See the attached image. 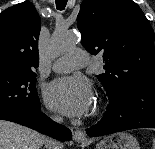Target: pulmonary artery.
Wrapping results in <instances>:
<instances>
[{
    "mask_svg": "<svg viewBox=\"0 0 155 149\" xmlns=\"http://www.w3.org/2000/svg\"><path fill=\"white\" fill-rule=\"evenodd\" d=\"M87 63V52L83 49H75L57 59L52 65V70L58 73H67L76 68L84 67Z\"/></svg>",
    "mask_w": 155,
    "mask_h": 149,
    "instance_id": "obj_1",
    "label": "pulmonary artery"
}]
</instances>
